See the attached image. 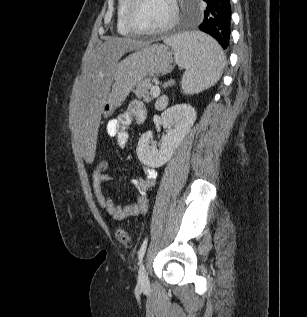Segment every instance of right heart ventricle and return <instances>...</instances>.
<instances>
[{"mask_svg":"<svg viewBox=\"0 0 307 317\" xmlns=\"http://www.w3.org/2000/svg\"><path fill=\"white\" fill-rule=\"evenodd\" d=\"M128 0H118L116 13V29L121 35H132L133 33L128 29L125 23V8Z\"/></svg>","mask_w":307,"mask_h":317,"instance_id":"right-heart-ventricle-1","label":"right heart ventricle"}]
</instances>
